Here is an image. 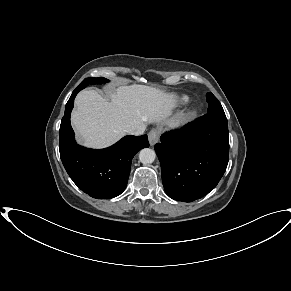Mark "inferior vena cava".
Instances as JSON below:
<instances>
[{
	"label": "inferior vena cava",
	"mask_w": 291,
	"mask_h": 291,
	"mask_svg": "<svg viewBox=\"0 0 291 291\" xmlns=\"http://www.w3.org/2000/svg\"><path fill=\"white\" fill-rule=\"evenodd\" d=\"M144 131H145V126L140 127V128H138V129H136V130H132V131H130V134H131V135H136V136H138V135L143 134Z\"/></svg>",
	"instance_id": "inferior-vena-cava-1"
}]
</instances>
